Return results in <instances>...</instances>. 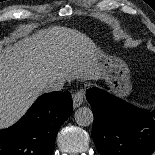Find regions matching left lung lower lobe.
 I'll list each match as a JSON object with an SVG mask.
<instances>
[{
	"label": "left lung lower lobe",
	"mask_w": 155,
	"mask_h": 155,
	"mask_svg": "<svg viewBox=\"0 0 155 155\" xmlns=\"http://www.w3.org/2000/svg\"><path fill=\"white\" fill-rule=\"evenodd\" d=\"M92 138L101 155H150L155 151V110L137 108L104 90L90 88Z\"/></svg>",
	"instance_id": "1"
}]
</instances>
